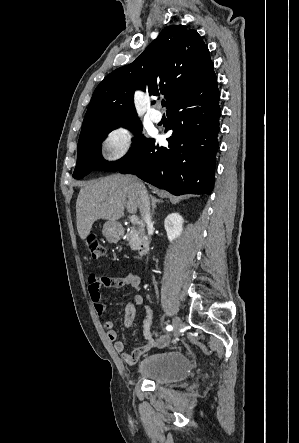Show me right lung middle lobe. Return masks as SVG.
I'll return each instance as SVG.
<instances>
[{
    "mask_svg": "<svg viewBox=\"0 0 299 443\" xmlns=\"http://www.w3.org/2000/svg\"><path fill=\"white\" fill-rule=\"evenodd\" d=\"M120 125L132 130L136 138L129 152L124 157L114 162H108L101 155V143L113 129L118 128ZM141 131L140 121L133 119L109 124L81 136L78 142L77 165L73 177L81 179L93 170L116 172L132 163L151 141V139H147L140 134Z\"/></svg>",
    "mask_w": 299,
    "mask_h": 443,
    "instance_id": "dd1d6c3e",
    "label": "right lung middle lobe"
}]
</instances>
